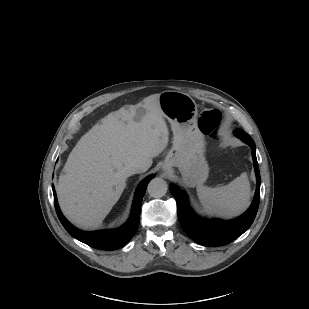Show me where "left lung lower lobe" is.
Instances as JSON below:
<instances>
[{
	"label": "left lung lower lobe",
	"mask_w": 309,
	"mask_h": 309,
	"mask_svg": "<svg viewBox=\"0 0 309 309\" xmlns=\"http://www.w3.org/2000/svg\"><path fill=\"white\" fill-rule=\"evenodd\" d=\"M235 134L251 148L257 179L254 200L250 208L242 216L229 221L205 220L193 212L180 189L174 185L170 189L177 202L178 218L182 228L191 239L203 246L229 244L251 226L258 210L260 200V173L256 159L255 144L251 137L244 131L237 129Z\"/></svg>",
	"instance_id": "1"
}]
</instances>
